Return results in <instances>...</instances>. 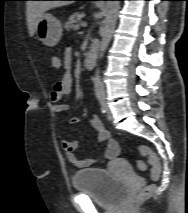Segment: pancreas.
I'll list each match as a JSON object with an SVG mask.
<instances>
[{
	"label": "pancreas",
	"instance_id": "cf45deb5",
	"mask_svg": "<svg viewBox=\"0 0 188 213\" xmlns=\"http://www.w3.org/2000/svg\"><path fill=\"white\" fill-rule=\"evenodd\" d=\"M81 20V14L79 12H75L69 16L67 21L64 24L66 29H74L77 30L79 28V22Z\"/></svg>",
	"mask_w": 188,
	"mask_h": 213
}]
</instances>
